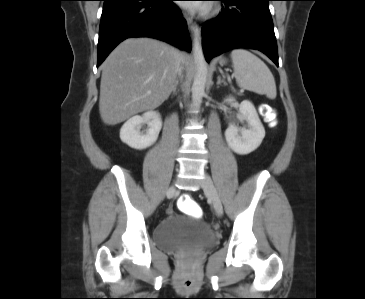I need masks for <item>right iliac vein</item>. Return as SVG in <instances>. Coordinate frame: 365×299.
Wrapping results in <instances>:
<instances>
[{
  "mask_svg": "<svg viewBox=\"0 0 365 299\" xmlns=\"http://www.w3.org/2000/svg\"><path fill=\"white\" fill-rule=\"evenodd\" d=\"M175 191H176L175 186H174V185H171V186L168 188V190H167V195H168L169 197H171V196L175 193Z\"/></svg>",
  "mask_w": 365,
  "mask_h": 299,
  "instance_id": "63e3f726",
  "label": "right iliac vein"
}]
</instances>
